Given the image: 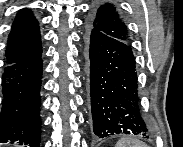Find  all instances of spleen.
<instances>
[{
  "instance_id": "3e777b00",
  "label": "spleen",
  "mask_w": 183,
  "mask_h": 147,
  "mask_svg": "<svg viewBox=\"0 0 183 147\" xmlns=\"http://www.w3.org/2000/svg\"><path fill=\"white\" fill-rule=\"evenodd\" d=\"M116 147H148V146L145 143L136 139L122 138L117 142Z\"/></svg>"
}]
</instances>
